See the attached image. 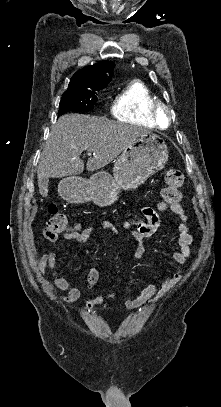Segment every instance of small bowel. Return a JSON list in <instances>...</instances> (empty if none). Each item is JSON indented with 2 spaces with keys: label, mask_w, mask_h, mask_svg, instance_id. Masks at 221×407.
Returning <instances> with one entry per match:
<instances>
[{
  "label": "small bowel",
  "mask_w": 221,
  "mask_h": 407,
  "mask_svg": "<svg viewBox=\"0 0 221 407\" xmlns=\"http://www.w3.org/2000/svg\"><path fill=\"white\" fill-rule=\"evenodd\" d=\"M170 209L179 218V222L174 223V228L178 235L177 246L171 249V260L176 264V269L171 273V264L166 263L164 265L165 275L163 279H154L142 289L137 297L124 302V306L129 310L145 307L156 302L172 290L183 278L184 265L192 252L193 237L189 232L188 218L184 207L180 203H177L170 207ZM142 213L144 216L143 219L129 212L128 215L131 218V222L125 226L126 231L130 233L136 241L134 257L137 259H141L145 255L143 240L153 236L160 225V218L153 209L143 207ZM98 226L115 232L107 221H101L99 224H89L80 231L67 233L63 235V239L84 244ZM57 256L56 251L43 255L37 262V268L41 274H44L46 269L51 271L52 284L64 292V294L58 296L59 302L62 305H69L80 299L81 291L77 286L71 284L66 278L59 275L57 271ZM98 281L99 271L96 264H93L86 276L88 289H93ZM124 296V291L92 294L84 304L82 311L88 312L92 308L101 305L105 300H113Z\"/></svg>",
  "instance_id": "1"
}]
</instances>
